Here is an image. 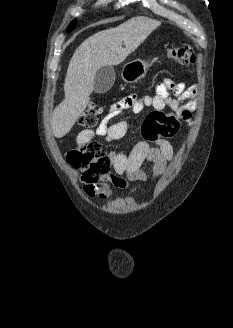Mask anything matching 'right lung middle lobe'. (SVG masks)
<instances>
[{"label": "right lung middle lobe", "mask_w": 233, "mask_h": 328, "mask_svg": "<svg viewBox=\"0 0 233 328\" xmlns=\"http://www.w3.org/2000/svg\"><path fill=\"white\" fill-rule=\"evenodd\" d=\"M76 20H74L68 27V32L72 31L76 26Z\"/></svg>", "instance_id": "1"}]
</instances>
